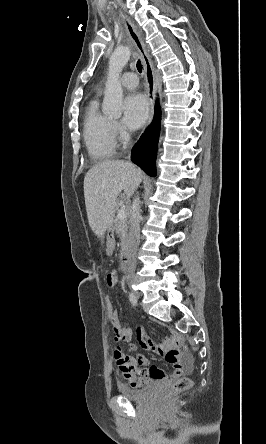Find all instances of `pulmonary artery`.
Here are the masks:
<instances>
[{
    "mask_svg": "<svg viewBox=\"0 0 266 444\" xmlns=\"http://www.w3.org/2000/svg\"><path fill=\"white\" fill-rule=\"evenodd\" d=\"M120 83L124 87L133 89L138 85V78L135 73L127 72L120 78Z\"/></svg>",
    "mask_w": 266,
    "mask_h": 444,
    "instance_id": "obj_1",
    "label": "pulmonary artery"
}]
</instances>
